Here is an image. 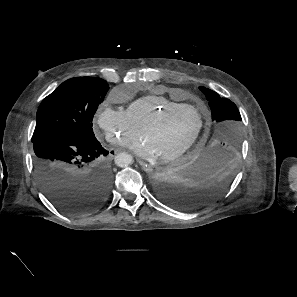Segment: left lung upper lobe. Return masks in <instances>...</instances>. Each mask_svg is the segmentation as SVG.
I'll list each match as a JSON object with an SVG mask.
<instances>
[{"label":"left lung upper lobe","mask_w":297,"mask_h":297,"mask_svg":"<svg viewBox=\"0 0 297 297\" xmlns=\"http://www.w3.org/2000/svg\"><path fill=\"white\" fill-rule=\"evenodd\" d=\"M207 97L215 122L208 145L215 144L229 152L238 153L241 144V115L236 105L216 92L199 87Z\"/></svg>","instance_id":"left-lung-upper-lobe-1"}]
</instances>
